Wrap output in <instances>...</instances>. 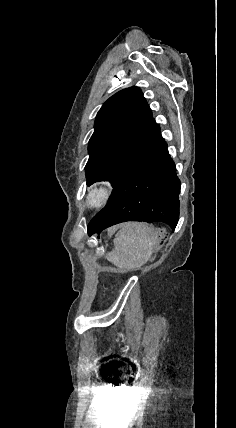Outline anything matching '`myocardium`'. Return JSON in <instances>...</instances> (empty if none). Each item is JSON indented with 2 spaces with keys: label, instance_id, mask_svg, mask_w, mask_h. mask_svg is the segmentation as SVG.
I'll return each instance as SVG.
<instances>
[{
  "label": "myocardium",
  "instance_id": "myocardium-1",
  "mask_svg": "<svg viewBox=\"0 0 236 428\" xmlns=\"http://www.w3.org/2000/svg\"><path fill=\"white\" fill-rule=\"evenodd\" d=\"M114 195L113 186L106 180L92 182L85 194V204L88 209L99 210L105 207Z\"/></svg>",
  "mask_w": 236,
  "mask_h": 428
}]
</instances>
